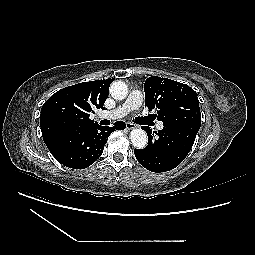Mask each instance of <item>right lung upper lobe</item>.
Returning <instances> with one entry per match:
<instances>
[{
    "instance_id": "right-lung-upper-lobe-1",
    "label": "right lung upper lobe",
    "mask_w": 255,
    "mask_h": 255,
    "mask_svg": "<svg viewBox=\"0 0 255 255\" xmlns=\"http://www.w3.org/2000/svg\"><path fill=\"white\" fill-rule=\"evenodd\" d=\"M113 79L82 82L54 93L42 106L40 126L48 149L74 133L98 125L90 120L94 109L103 107Z\"/></svg>"
}]
</instances>
